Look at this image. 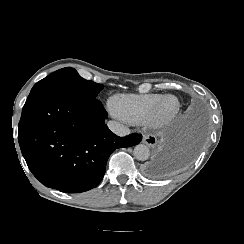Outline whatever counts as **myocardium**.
<instances>
[{
	"mask_svg": "<svg viewBox=\"0 0 244 244\" xmlns=\"http://www.w3.org/2000/svg\"><path fill=\"white\" fill-rule=\"evenodd\" d=\"M167 99H172L174 101L173 106L171 107L164 106V103ZM179 108H180V102L176 96L172 94H166L160 96L155 105L154 113H156V115L152 119V125L155 127H163L169 124L176 116Z\"/></svg>",
	"mask_w": 244,
	"mask_h": 244,
	"instance_id": "obj_1",
	"label": "myocardium"
}]
</instances>
